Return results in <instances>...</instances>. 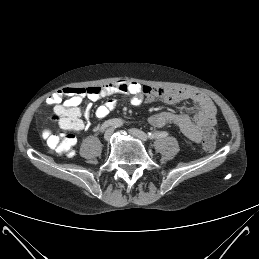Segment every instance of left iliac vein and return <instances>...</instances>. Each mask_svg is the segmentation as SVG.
<instances>
[{
	"mask_svg": "<svg viewBox=\"0 0 259 259\" xmlns=\"http://www.w3.org/2000/svg\"><path fill=\"white\" fill-rule=\"evenodd\" d=\"M129 133L133 137L141 140L142 142H146L148 140V136L144 132H142L141 130L132 128V129L129 130Z\"/></svg>",
	"mask_w": 259,
	"mask_h": 259,
	"instance_id": "4c4485c4",
	"label": "left iliac vein"
}]
</instances>
